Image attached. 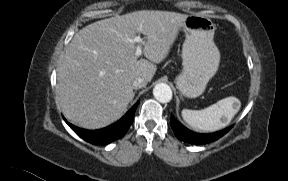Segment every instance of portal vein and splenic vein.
<instances>
[{
  "label": "portal vein and splenic vein",
  "mask_w": 288,
  "mask_h": 181,
  "mask_svg": "<svg viewBox=\"0 0 288 181\" xmlns=\"http://www.w3.org/2000/svg\"><path fill=\"white\" fill-rule=\"evenodd\" d=\"M134 42L138 43L137 47H136V51H135V55L137 57H139L142 53V45L141 43L143 42V39L140 37V36H136L134 39H133Z\"/></svg>",
  "instance_id": "1"
}]
</instances>
